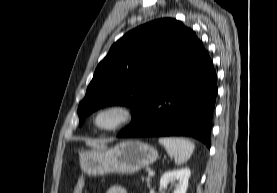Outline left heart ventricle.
I'll list each match as a JSON object with an SVG mask.
<instances>
[{
  "instance_id": "b2bd125f",
  "label": "left heart ventricle",
  "mask_w": 277,
  "mask_h": 193,
  "mask_svg": "<svg viewBox=\"0 0 277 193\" xmlns=\"http://www.w3.org/2000/svg\"><path fill=\"white\" fill-rule=\"evenodd\" d=\"M116 119L117 115L113 112L103 113L97 118V124L102 127H107L112 125Z\"/></svg>"
}]
</instances>
